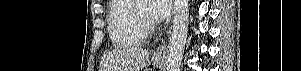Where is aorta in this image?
<instances>
[{"label": "aorta", "mask_w": 301, "mask_h": 71, "mask_svg": "<svg viewBox=\"0 0 301 71\" xmlns=\"http://www.w3.org/2000/svg\"><path fill=\"white\" fill-rule=\"evenodd\" d=\"M146 4L147 0H135ZM189 0H175L172 34L167 58V71H180L188 32Z\"/></svg>", "instance_id": "1"}]
</instances>
